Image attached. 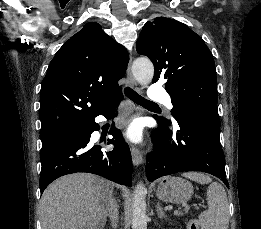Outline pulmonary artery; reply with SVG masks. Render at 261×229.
I'll use <instances>...</instances> for the list:
<instances>
[{
	"mask_svg": "<svg viewBox=\"0 0 261 229\" xmlns=\"http://www.w3.org/2000/svg\"><path fill=\"white\" fill-rule=\"evenodd\" d=\"M151 91L149 92L150 99H166L158 100V105H164V108L168 111L172 108V105L167 99H170V94L165 89H162V84H150ZM176 123V120L174 119Z\"/></svg>",
	"mask_w": 261,
	"mask_h": 229,
	"instance_id": "e3ab8cb5",
	"label": "pulmonary artery"
}]
</instances>
